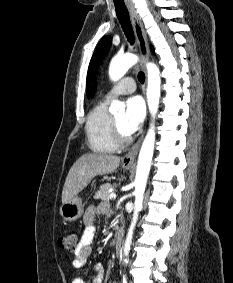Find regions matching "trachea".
<instances>
[{"label": "trachea", "mask_w": 233, "mask_h": 283, "mask_svg": "<svg viewBox=\"0 0 233 283\" xmlns=\"http://www.w3.org/2000/svg\"><path fill=\"white\" fill-rule=\"evenodd\" d=\"M116 14L118 17V20L122 26V29L128 39V41L133 44L134 43V34L132 25L130 22L129 13L126 7L122 6H115ZM138 80L140 83H144L145 81V74L143 72L138 73Z\"/></svg>", "instance_id": "1"}]
</instances>
